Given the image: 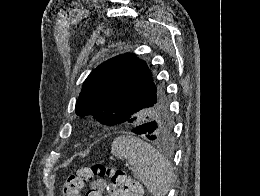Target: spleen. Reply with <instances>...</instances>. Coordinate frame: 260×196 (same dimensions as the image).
<instances>
[{
    "mask_svg": "<svg viewBox=\"0 0 260 196\" xmlns=\"http://www.w3.org/2000/svg\"><path fill=\"white\" fill-rule=\"evenodd\" d=\"M111 154L133 166L137 180L152 196L168 194L174 176L173 170L151 144L136 136H118L112 142Z\"/></svg>",
    "mask_w": 260,
    "mask_h": 196,
    "instance_id": "spleen-1",
    "label": "spleen"
}]
</instances>
